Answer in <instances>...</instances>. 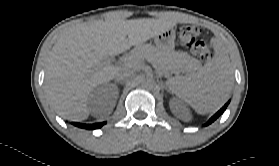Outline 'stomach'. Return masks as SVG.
Listing matches in <instances>:
<instances>
[{"label":"stomach","mask_w":279,"mask_h":166,"mask_svg":"<svg viewBox=\"0 0 279 166\" xmlns=\"http://www.w3.org/2000/svg\"><path fill=\"white\" fill-rule=\"evenodd\" d=\"M154 39L160 50L171 51L174 48L175 31L171 28L158 34Z\"/></svg>","instance_id":"1"}]
</instances>
